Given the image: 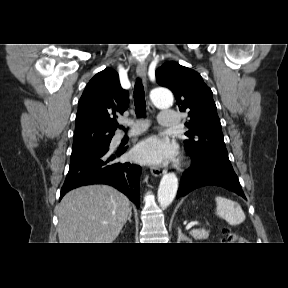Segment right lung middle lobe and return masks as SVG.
I'll return each instance as SVG.
<instances>
[{
    "instance_id": "1",
    "label": "right lung middle lobe",
    "mask_w": 288,
    "mask_h": 288,
    "mask_svg": "<svg viewBox=\"0 0 288 288\" xmlns=\"http://www.w3.org/2000/svg\"><path fill=\"white\" fill-rule=\"evenodd\" d=\"M109 144L110 141L95 146L72 149L71 161L78 160L94 152L107 149L109 148Z\"/></svg>"
}]
</instances>
